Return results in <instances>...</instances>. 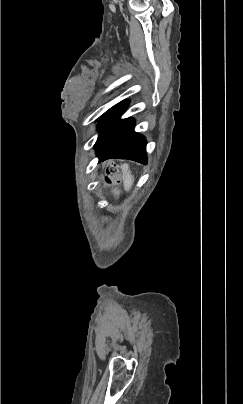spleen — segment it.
I'll return each instance as SVG.
<instances>
[{
	"label": "spleen",
	"mask_w": 243,
	"mask_h": 404,
	"mask_svg": "<svg viewBox=\"0 0 243 404\" xmlns=\"http://www.w3.org/2000/svg\"><path fill=\"white\" fill-rule=\"evenodd\" d=\"M123 182L126 192H129L134 184V178L132 176V172H130L128 168L127 170H123Z\"/></svg>",
	"instance_id": "1"
}]
</instances>
